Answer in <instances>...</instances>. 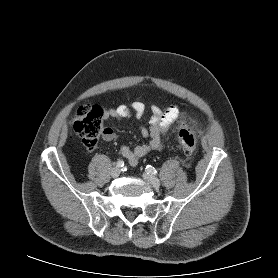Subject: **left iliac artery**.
<instances>
[{"instance_id":"left-iliac-artery-1","label":"left iliac artery","mask_w":278,"mask_h":278,"mask_svg":"<svg viewBox=\"0 0 278 278\" xmlns=\"http://www.w3.org/2000/svg\"><path fill=\"white\" fill-rule=\"evenodd\" d=\"M145 169L148 174L157 175V170L153 166L147 165Z\"/></svg>"}]
</instances>
